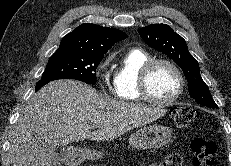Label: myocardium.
<instances>
[{
    "label": "myocardium",
    "instance_id": "obj_1",
    "mask_svg": "<svg viewBox=\"0 0 231 166\" xmlns=\"http://www.w3.org/2000/svg\"><path fill=\"white\" fill-rule=\"evenodd\" d=\"M165 64L169 66L176 74L178 78V88L176 92L167 99H158L154 97L150 91L148 86V78L152 71V69L159 65ZM185 88V77L182 70L179 66L174 63L173 61L166 59V58H152L148 62H146L140 69L139 76H138V91L142 99L161 106H167L175 102L183 93Z\"/></svg>",
    "mask_w": 231,
    "mask_h": 166
}]
</instances>
